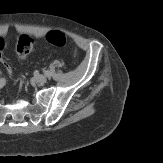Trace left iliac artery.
<instances>
[{"mask_svg":"<svg viewBox=\"0 0 163 163\" xmlns=\"http://www.w3.org/2000/svg\"><path fill=\"white\" fill-rule=\"evenodd\" d=\"M44 74H45L47 77H50V76H51V73H50V71H48V70H45V71H44Z\"/></svg>","mask_w":163,"mask_h":163,"instance_id":"left-iliac-artery-1","label":"left iliac artery"}]
</instances>
